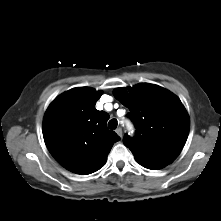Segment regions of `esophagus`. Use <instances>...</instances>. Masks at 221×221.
<instances>
[{
    "label": "esophagus",
    "mask_w": 221,
    "mask_h": 221,
    "mask_svg": "<svg viewBox=\"0 0 221 221\" xmlns=\"http://www.w3.org/2000/svg\"><path fill=\"white\" fill-rule=\"evenodd\" d=\"M116 133H117V135H118L119 137L122 138L123 132H122V128H121V127H119V128L116 129Z\"/></svg>",
    "instance_id": "esophagus-1"
}]
</instances>
